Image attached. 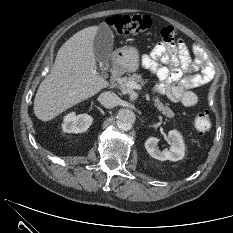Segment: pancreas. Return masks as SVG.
<instances>
[{"instance_id": "pancreas-1", "label": "pancreas", "mask_w": 233, "mask_h": 233, "mask_svg": "<svg viewBox=\"0 0 233 233\" xmlns=\"http://www.w3.org/2000/svg\"><path fill=\"white\" fill-rule=\"evenodd\" d=\"M130 81H134L136 83H140L141 85H144V80L142 78L141 74H133L129 77H123L118 79L117 81V86L120 90L125 91L127 90V83ZM153 102H154V107L161 112L163 115H165L168 118H173L174 117V112L170 109V107H168L167 105H164L161 102V99L158 96H155L152 98Z\"/></svg>"}]
</instances>
